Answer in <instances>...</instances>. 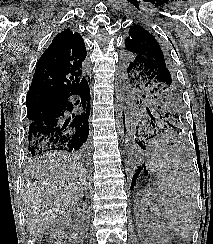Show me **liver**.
Returning a JSON list of instances; mask_svg holds the SVG:
<instances>
[{"instance_id":"6515ba94","label":"liver","mask_w":213,"mask_h":244,"mask_svg":"<svg viewBox=\"0 0 213 244\" xmlns=\"http://www.w3.org/2000/svg\"><path fill=\"white\" fill-rule=\"evenodd\" d=\"M86 170L75 154L46 153L28 167L21 196L30 237L36 241L49 225L82 197Z\"/></svg>"}]
</instances>
